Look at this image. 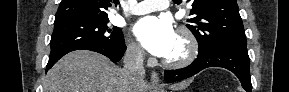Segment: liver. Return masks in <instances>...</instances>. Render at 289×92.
I'll use <instances>...</instances> for the list:
<instances>
[{
    "label": "liver",
    "instance_id": "6515ba94",
    "mask_svg": "<svg viewBox=\"0 0 289 92\" xmlns=\"http://www.w3.org/2000/svg\"><path fill=\"white\" fill-rule=\"evenodd\" d=\"M44 92H148L143 79L133 78L107 57L77 50L62 57L47 73ZM173 90L177 86L172 87Z\"/></svg>",
    "mask_w": 289,
    "mask_h": 92
}]
</instances>
